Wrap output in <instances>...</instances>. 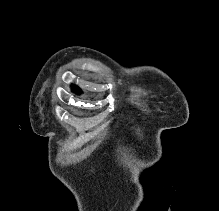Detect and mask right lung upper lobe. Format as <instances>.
Masks as SVG:
<instances>
[{
    "mask_svg": "<svg viewBox=\"0 0 219 211\" xmlns=\"http://www.w3.org/2000/svg\"><path fill=\"white\" fill-rule=\"evenodd\" d=\"M73 91L76 92V93H80L81 92V90L78 87H76V86H73Z\"/></svg>",
    "mask_w": 219,
    "mask_h": 211,
    "instance_id": "1",
    "label": "right lung upper lobe"
}]
</instances>
